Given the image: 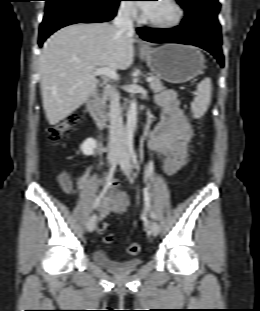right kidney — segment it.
Returning a JSON list of instances; mask_svg holds the SVG:
<instances>
[{
    "instance_id": "1",
    "label": "right kidney",
    "mask_w": 260,
    "mask_h": 311,
    "mask_svg": "<svg viewBox=\"0 0 260 311\" xmlns=\"http://www.w3.org/2000/svg\"><path fill=\"white\" fill-rule=\"evenodd\" d=\"M97 143L93 138L86 139L81 145V151L84 155H92L94 153V149L96 148Z\"/></svg>"
}]
</instances>
